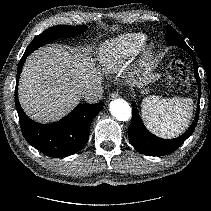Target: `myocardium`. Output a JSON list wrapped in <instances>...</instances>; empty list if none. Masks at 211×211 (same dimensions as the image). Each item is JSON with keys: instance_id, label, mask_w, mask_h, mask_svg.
<instances>
[{"instance_id": "1", "label": "myocardium", "mask_w": 211, "mask_h": 211, "mask_svg": "<svg viewBox=\"0 0 211 211\" xmlns=\"http://www.w3.org/2000/svg\"><path fill=\"white\" fill-rule=\"evenodd\" d=\"M142 48L141 65L149 67L158 53V45L154 41H147Z\"/></svg>"}]
</instances>
